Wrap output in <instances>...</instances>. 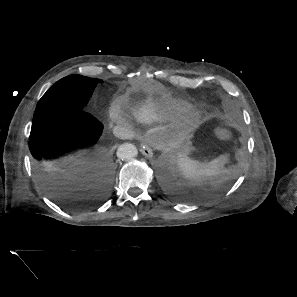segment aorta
<instances>
[{"mask_svg":"<svg viewBox=\"0 0 297 297\" xmlns=\"http://www.w3.org/2000/svg\"><path fill=\"white\" fill-rule=\"evenodd\" d=\"M137 154H138L137 148L135 147V145L131 143H124L120 145V147L117 150V156L122 160H130L136 157Z\"/></svg>","mask_w":297,"mask_h":297,"instance_id":"aorta-1","label":"aorta"}]
</instances>
